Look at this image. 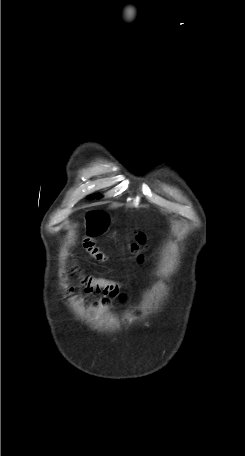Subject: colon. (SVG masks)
Returning <instances> with one entry per match:
<instances>
[{
	"label": "colon",
	"mask_w": 245,
	"mask_h": 456,
	"mask_svg": "<svg viewBox=\"0 0 245 456\" xmlns=\"http://www.w3.org/2000/svg\"><path fill=\"white\" fill-rule=\"evenodd\" d=\"M143 242H144L143 236L139 235V236L137 237V241L131 245L132 251L138 253V252H139V249H140V247H141V245L143 244Z\"/></svg>",
	"instance_id": "obj_1"
}]
</instances>
